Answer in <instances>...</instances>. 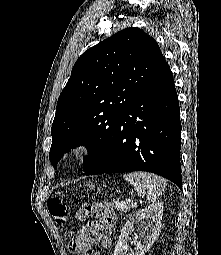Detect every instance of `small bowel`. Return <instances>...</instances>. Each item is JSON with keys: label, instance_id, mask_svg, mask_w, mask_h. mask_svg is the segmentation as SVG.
<instances>
[{"label": "small bowel", "instance_id": "obj_1", "mask_svg": "<svg viewBox=\"0 0 221 255\" xmlns=\"http://www.w3.org/2000/svg\"><path fill=\"white\" fill-rule=\"evenodd\" d=\"M91 208V216L95 220L81 227L76 237L70 241L73 255H90L98 244L105 249L112 248L111 231L116 222L115 213L105 203L92 204ZM92 255H100V252L94 250Z\"/></svg>", "mask_w": 221, "mask_h": 255}]
</instances>
